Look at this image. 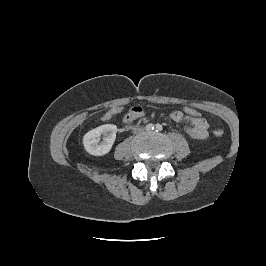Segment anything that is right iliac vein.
<instances>
[{
    "label": "right iliac vein",
    "instance_id": "obj_1",
    "mask_svg": "<svg viewBox=\"0 0 266 266\" xmlns=\"http://www.w3.org/2000/svg\"><path fill=\"white\" fill-rule=\"evenodd\" d=\"M138 132H139V133L142 132V129H139Z\"/></svg>",
    "mask_w": 266,
    "mask_h": 266
}]
</instances>
